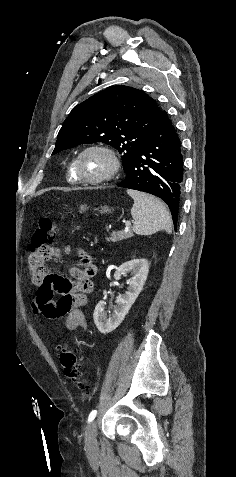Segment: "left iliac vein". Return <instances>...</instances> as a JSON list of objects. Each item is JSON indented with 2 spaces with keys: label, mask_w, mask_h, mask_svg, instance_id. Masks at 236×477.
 Here are the masks:
<instances>
[{
  "label": "left iliac vein",
  "mask_w": 236,
  "mask_h": 477,
  "mask_svg": "<svg viewBox=\"0 0 236 477\" xmlns=\"http://www.w3.org/2000/svg\"><path fill=\"white\" fill-rule=\"evenodd\" d=\"M96 420L93 421L86 429V446L88 449L93 450L96 449L98 446L97 443V427L99 422L101 421L100 417H96Z\"/></svg>",
  "instance_id": "4c4485c4"
}]
</instances>
